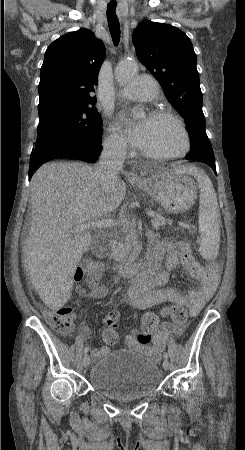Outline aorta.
Segmentation results:
<instances>
[{
    "label": "aorta",
    "mask_w": 245,
    "mask_h": 450,
    "mask_svg": "<svg viewBox=\"0 0 245 450\" xmlns=\"http://www.w3.org/2000/svg\"><path fill=\"white\" fill-rule=\"evenodd\" d=\"M138 72V64L134 61H121L115 70L116 79L121 84L128 83ZM137 117H142L144 115L141 109H136L135 111Z\"/></svg>",
    "instance_id": "762f6f07"
}]
</instances>
